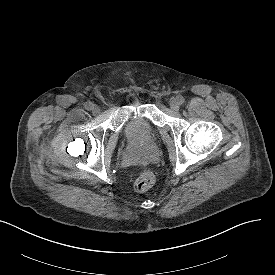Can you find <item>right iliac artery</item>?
<instances>
[{
    "label": "right iliac artery",
    "mask_w": 275,
    "mask_h": 275,
    "mask_svg": "<svg viewBox=\"0 0 275 275\" xmlns=\"http://www.w3.org/2000/svg\"><path fill=\"white\" fill-rule=\"evenodd\" d=\"M85 109L91 110L92 109V103L91 102L85 103Z\"/></svg>",
    "instance_id": "obj_1"
}]
</instances>
